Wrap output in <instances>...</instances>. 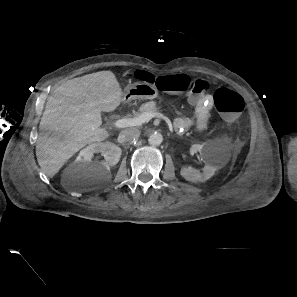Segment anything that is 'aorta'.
<instances>
[{
    "label": "aorta",
    "instance_id": "aorta-1",
    "mask_svg": "<svg viewBox=\"0 0 297 297\" xmlns=\"http://www.w3.org/2000/svg\"><path fill=\"white\" fill-rule=\"evenodd\" d=\"M163 142V136L161 133H152L148 138V143L152 146H159Z\"/></svg>",
    "mask_w": 297,
    "mask_h": 297
}]
</instances>
